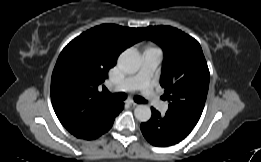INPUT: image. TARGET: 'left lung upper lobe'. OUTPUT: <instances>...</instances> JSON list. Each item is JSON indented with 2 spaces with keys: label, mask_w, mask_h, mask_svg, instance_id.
Listing matches in <instances>:
<instances>
[{
  "label": "left lung upper lobe",
  "mask_w": 261,
  "mask_h": 162,
  "mask_svg": "<svg viewBox=\"0 0 261 162\" xmlns=\"http://www.w3.org/2000/svg\"><path fill=\"white\" fill-rule=\"evenodd\" d=\"M140 31L164 51L160 84L165 89L163 98L170 102L166 113L196 125L204 109L210 79L200 44L170 26H149Z\"/></svg>",
  "instance_id": "left-lung-upper-lobe-1"
}]
</instances>
